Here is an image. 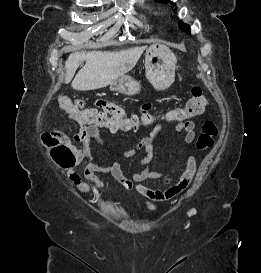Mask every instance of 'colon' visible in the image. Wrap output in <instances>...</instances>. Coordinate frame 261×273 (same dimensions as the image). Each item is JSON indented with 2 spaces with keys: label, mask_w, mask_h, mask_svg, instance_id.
Masks as SVG:
<instances>
[{
  "label": "colon",
  "mask_w": 261,
  "mask_h": 273,
  "mask_svg": "<svg viewBox=\"0 0 261 273\" xmlns=\"http://www.w3.org/2000/svg\"><path fill=\"white\" fill-rule=\"evenodd\" d=\"M207 99L199 86H193L191 96L184 107L170 111L166 114L167 120H185L201 115L207 107ZM59 105L67 113L82 120L86 124L96 125L108 128L110 130H133L140 125H148L155 123L157 117L148 111H143L140 116L134 115L130 118H119L111 116L103 111L83 107V103L79 99H72L67 96L59 98ZM218 133V128L212 121H207L202 125L201 132L196 141V147L199 150L209 149L214 138ZM42 143L48 151L50 159L60 167L69 168L75 164L76 156L64 135L58 132L47 131L41 136ZM188 179L179 180L169 189L171 193H177L186 189Z\"/></svg>",
  "instance_id": "colon-1"
}]
</instances>
